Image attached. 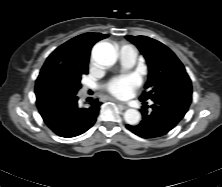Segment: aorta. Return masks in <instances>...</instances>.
<instances>
[{
  "mask_svg": "<svg viewBox=\"0 0 222 187\" xmlns=\"http://www.w3.org/2000/svg\"><path fill=\"white\" fill-rule=\"evenodd\" d=\"M92 58L100 66L109 67L115 64L117 51L112 44L100 42L93 47ZM124 119L129 125H137L141 120V114L136 109H128L124 113Z\"/></svg>",
  "mask_w": 222,
  "mask_h": 187,
  "instance_id": "aorta-1",
  "label": "aorta"
}]
</instances>
